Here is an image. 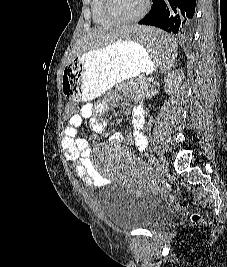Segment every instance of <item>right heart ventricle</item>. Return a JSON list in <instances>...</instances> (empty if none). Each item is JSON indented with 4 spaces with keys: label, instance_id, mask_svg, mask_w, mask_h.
<instances>
[{
    "label": "right heart ventricle",
    "instance_id": "right-heart-ventricle-1",
    "mask_svg": "<svg viewBox=\"0 0 227 267\" xmlns=\"http://www.w3.org/2000/svg\"><path fill=\"white\" fill-rule=\"evenodd\" d=\"M91 10L94 22L100 26H110L114 22L110 20L103 11V0H91Z\"/></svg>",
    "mask_w": 227,
    "mask_h": 267
}]
</instances>
